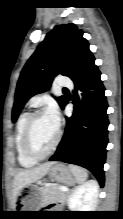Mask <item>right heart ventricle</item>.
Returning a JSON list of instances; mask_svg holds the SVG:
<instances>
[{"label": "right heart ventricle", "mask_w": 123, "mask_h": 219, "mask_svg": "<svg viewBox=\"0 0 123 219\" xmlns=\"http://www.w3.org/2000/svg\"><path fill=\"white\" fill-rule=\"evenodd\" d=\"M29 112H23L17 121L16 125V134H15V148L17 153V159L21 166L23 167H31L36 164V160L29 158L23 148V134L25 124L27 122Z\"/></svg>", "instance_id": "right-heart-ventricle-1"}]
</instances>
